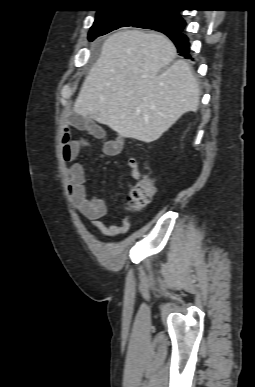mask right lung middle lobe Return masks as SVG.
Listing matches in <instances>:
<instances>
[{"label": "right lung middle lobe", "mask_w": 255, "mask_h": 387, "mask_svg": "<svg viewBox=\"0 0 255 387\" xmlns=\"http://www.w3.org/2000/svg\"><path fill=\"white\" fill-rule=\"evenodd\" d=\"M124 26L150 28L162 32L182 29L185 21L178 12L167 8H135L126 11L97 13L88 38L93 41L98 36Z\"/></svg>", "instance_id": "right-lung-middle-lobe-1"}]
</instances>
